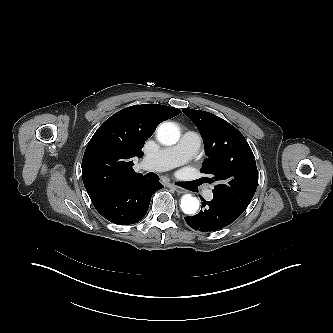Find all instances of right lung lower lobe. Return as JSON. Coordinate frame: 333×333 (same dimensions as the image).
I'll use <instances>...</instances> for the list:
<instances>
[{
	"label": "right lung lower lobe",
	"instance_id": "1",
	"mask_svg": "<svg viewBox=\"0 0 333 333\" xmlns=\"http://www.w3.org/2000/svg\"><path fill=\"white\" fill-rule=\"evenodd\" d=\"M161 188L160 182L142 178L110 190L92 199V203L112 223L135 224L145 216L152 194Z\"/></svg>",
	"mask_w": 333,
	"mask_h": 333
}]
</instances>
